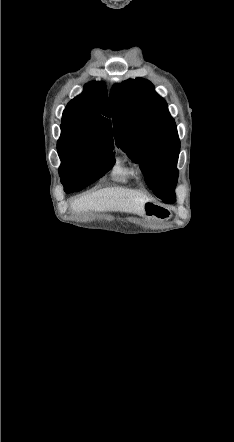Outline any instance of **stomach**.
I'll return each instance as SVG.
<instances>
[{"label": "stomach", "mask_w": 234, "mask_h": 442, "mask_svg": "<svg viewBox=\"0 0 234 442\" xmlns=\"http://www.w3.org/2000/svg\"><path fill=\"white\" fill-rule=\"evenodd\" d=\"M144 215L157 219H167L170 216V212L153 202H146L144 204Z\"/></svg>", "instance_id": "0dacf381"}]
</instances>
